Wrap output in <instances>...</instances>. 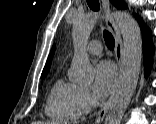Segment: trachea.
Segmentation results:
<instances>
[{"mask_svg":"<svg viewBox=\"0 0 156 124\" xmlns=\"http://www.w3.org/2000/svg\"><path fill=\"white\" fill-rule=\"evenodd\" d=\"M87 4L90 7L91 10L93 11H99V1L98 0H87ZM103 37L106 43V46L109 49H113L114 45H115V40L114 37L112 36V34L108 31H104L103 32Z\"/></svg>","mask_w":156,"mask_h":124,"instance_id":"obj_1","label":"trachea"}]
</instances>
